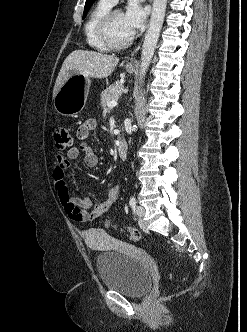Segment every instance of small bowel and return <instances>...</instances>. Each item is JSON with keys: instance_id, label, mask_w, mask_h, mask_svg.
Instances as JSON below:
<instances>
[{"instance_id": "small-bowel-1", "label": "small bowel", "mask_w": 247, "mask_h": 332, "mask_svg": "<svg viewBox=\"0 0 247 332\" xmlns=\"http://www.w3.org/2000/svg\"><path fill=\"white\" fill-rule=\"evenodd\" d=\"M96 125L95 119H88L78 128L77 137L80 140V147L71 148L67 152V157L56 156L53 169V179L60 203L68 217L79 223H90L103 216L117 202L119 197L118 187L113 186L109 188L105 200L93 204L89 198L72 196L65 181V173L70 165V160H78L82 155L83 161L88 167L97 165L98 158L88 141L89 134L95 129Z\"/></svg>"}]
</instances>
